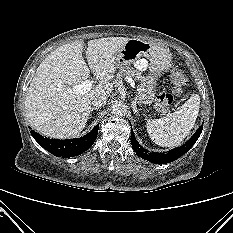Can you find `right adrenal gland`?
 Here are the masks:
<instances>
[{"label": "right adrenal gland", "instance_id": "obj_1", "mask_svg": "<svg viewBox=\"0 0 233 233\" xmlns=\"http://www.w3.org/2000/svg\"><path fill=\"white\" fill-rule=\"evenodd\" d=\"M97 109H99V108H97V107H96V108H92V109H91V112H90V116L92 115V112H93L94 110H97Z\"/></svg>", "mask_w": 233, "mask_h": 233}]
</instances>
